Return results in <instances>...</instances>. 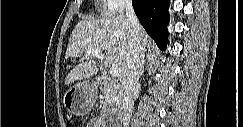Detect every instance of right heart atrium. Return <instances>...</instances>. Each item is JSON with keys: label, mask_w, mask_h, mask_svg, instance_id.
Listing matches in <instances>:
<instances>
[{"label": "right heart atrium", "mask_w": 243, "mask_h": 127, "mask_svg": "<svg viewBox=\"0 0 243 127\" xmlns=\"http://www.w3.org/2000/svg\"><path fill=\"white\" fill-rule=\"evenodd\" d=\"M106 11L109 14H118L125 10L129 6L130 1L128 0H105Z\"/></svg>", "instance_id": "d8ad5b80"}]
</instances>
